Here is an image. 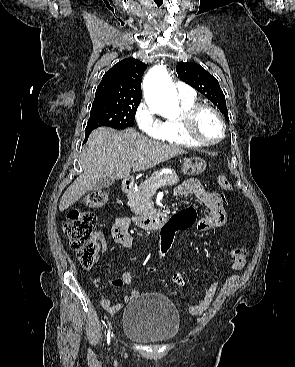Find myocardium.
<instances>
[{"label":"myocardium","mask_w":295,"mask_h":367,"mask_svg":"<svg viewBox=\"0 0 295 367\" xmlns=\"http://www.w3.org/2000/svg\"><path fill=\"white\" fill-rule=\"evenodd\" d=\"M205 110L212 112L216 116V118L218 119L222 127V134L217 139L206 140L202 138L198 133V130H197L198 119H199L200 114ZM181 123L183 125V128L187 136L192 141L202 146H212V145L218 144L226 137V134H227V126H226L223 116L215 107L209 104H204V103L195 104L194 106L186 110L181 116Z\"/></svg>","instance_id":"f54148a6"}]
</instances>
